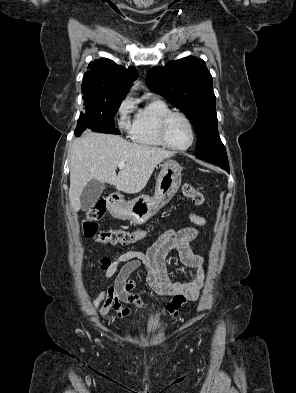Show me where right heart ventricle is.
Instances as JSON below:
<instances>
[{"instance_id":"obj_1","label":"right heart ventricle","mask_w":296,"mask_h":393,"mask_svg":"<svg viewBox=\"0 0 296 393\" xmlns=\"http://www.w3.org/2000/svg\"><path fill=\"white\" fill-rule=\"evenodd\" d=\"M171 112L168 104L160 99H151L135 115L131 138L144 146L166 147L159 137V125L162 118Z\"/></svg>"}]
</instances>
